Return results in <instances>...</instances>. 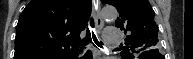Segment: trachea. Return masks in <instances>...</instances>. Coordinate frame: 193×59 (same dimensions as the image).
<instances>
[{
    "mask_svg": "<svg viewBox=\"0 0 193 59\" xmlns=\"http://www.w3.org/2000/svg\"><path fill=\"white\" fill-rule=\"evenodd\" d=\"M91 27L94 28V21L92 20L90 23ZM92 34V36H91ZM92 39L94 40L95 44L100 47L103 48V43L99 42L98 39L96 38V35L94 34V32H90L89 28H87V32H86V37L82 40V44H81V49L83 50L84 47L89 44V42L92 41Z\"/></svg>",
    "mask_w": 193,
    "mask_h": 59,
    "instance_id": "obj_1",
    "label": "trachea"
}]
</instances>
